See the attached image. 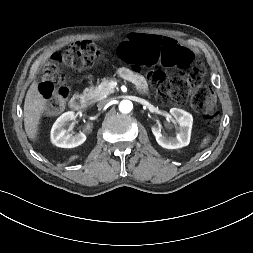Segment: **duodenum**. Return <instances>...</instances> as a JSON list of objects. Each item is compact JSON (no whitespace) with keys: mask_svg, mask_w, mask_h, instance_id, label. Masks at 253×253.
I'll list each match as a JSON object with an SVG mask.
<instances>
[{"mask_svg":"<svg viewBox=\"0 0 253 253\" xmlns=\"http://www.w3.org/2000/svg\"><path fill=\"white\" fill-rule=\"evenodd\" d=\"M89 104V97L85 94H75L70 100V106L74 110H83Z\"/></svg>","mask_w":253,"mask_h":253,"instance_id":"410a0bca","label":"duodenum"}]
</instances>
